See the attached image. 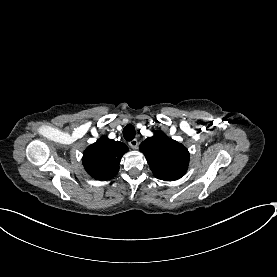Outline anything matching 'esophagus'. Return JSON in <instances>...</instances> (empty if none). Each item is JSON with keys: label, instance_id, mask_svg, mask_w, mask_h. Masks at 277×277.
<instances>
[{"label": "esophagus", "instance_id": "1", "mask_svg": "<svg viewBox=\"0 0 277 277\" xmlns=\"http://www.w3.org/2000/svg\"><path fill=\"white\" fill-rule=\"evenodd\" d=\"M129 145L132 149H137L138 147V140L137 139H133L132 141L129 142Z\"/></svg>", "mask_w": 277, "mask_h": 277}]
</instances>
